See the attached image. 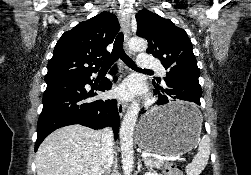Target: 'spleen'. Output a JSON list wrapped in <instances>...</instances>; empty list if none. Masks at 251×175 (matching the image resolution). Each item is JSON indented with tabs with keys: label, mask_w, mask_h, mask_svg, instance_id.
<instances>
[{
	"label": "spleen",
	"mask_w": 251,
	"mask_h": 175,
	"mask_svg": "<svg viewBox=\"0 0 251 175\" xmlns=\"http://www.w3.org/2000/svg\"><path fill=\"white\" fill-rule=\"evenodd\" d=\"M195 115L202 117L199 109H195ZM210 155V139L209 135H203L198 145V153H196L191 163H188L186 167L187 175H200L205 165L208 163Z\"/></svg>",
	"instance_id": "1"
}]
</instances>
